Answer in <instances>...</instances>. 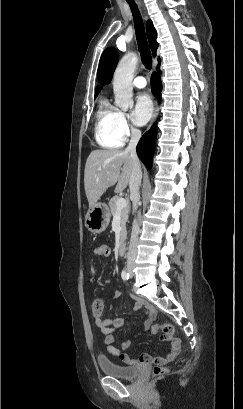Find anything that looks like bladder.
Segmentation results:
<instances>
[{"label": "bladder", "mask_w": 243, "mask_h": 409, "mask_svg": "<svg viewBox=\"0 0 243 409\" xmlns=\"http://www.w3.org/2000/svg\"><path fill=\"white\" fill-rule=\"evenodd\" d=\"M97 363L105 375L118 379H133L141 373V368L138 366H124L112 360L98 359Z\"/></svg>", "instance_id": "31cf9c89"}]
</instances>
